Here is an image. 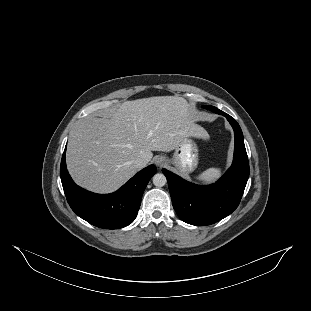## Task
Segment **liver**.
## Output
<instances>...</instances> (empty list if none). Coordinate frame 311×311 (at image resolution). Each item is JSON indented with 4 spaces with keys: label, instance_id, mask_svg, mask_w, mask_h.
<instances>
[{
    "label": "liver",
    "instance_id": "obj_1",
    "mask_svg": "<svg viewBox=\"0 0 311 311\" xmlns=\"http://www.w3.org/2000/svg\"><path fill=\"white\" fill-rule=\"evenodd\" d=\"M189 137L206 140L209 134L195 124L185 98L125 101L109 119L87 117L72 131L67 168L81 187L111 193L148 165L152 151L170 152ZM137 158L142 159L140 166Z\"/></svg>",
    "mask_w": 311,
    "mask_h": 311
}]
</instances>
